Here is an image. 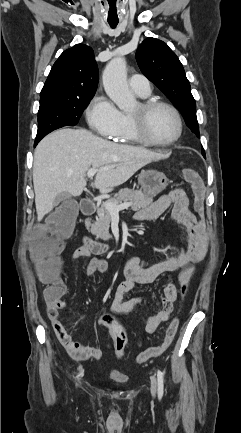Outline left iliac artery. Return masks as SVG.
Masks as SVG:
<instances>
[{
    "label": "left iliac artery",
    "instance_id": "left-iliac-artery-1",
    "mask_svg": "<svg viewBox=\"0 0 241 433\" xmlns=\"http://www.w3.org/2000/svg\"><path fill=\"white\" fill-rule=\"evenodd\" d=\"M157 380H158V395L162 397L164 393V378H163V373L160 370L157 371Z\"/></svg>",
    "mask_w": 241,
    "mask_h": 433
}]
</instances>
